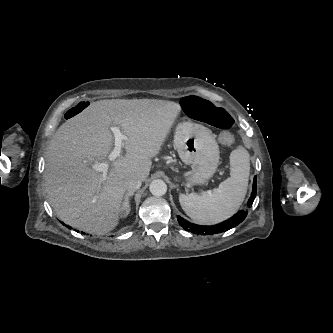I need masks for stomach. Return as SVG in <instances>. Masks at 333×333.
<instances>
[{"mask_svg":"<svg viewBox=\"0 0 333 333\" xmlns=\"http://www.w3.org/2000/svg\"><path fill=\"white\" fill-rule=\"evenodd\" d=\"M174 145L181 160L192 167L187 181L203 185L219 165V146L212 131L192 121L180 123L175 131Z\"/></svg>","mask_w":333,"mask_h":333,"instance_id":"obj_1","label":"stomach"}]
</instances>
